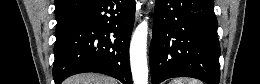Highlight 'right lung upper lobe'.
<instances>
[{"label": "right lung upper lobe", "instance_id": "cb5924a9", "mask_svg": "<svg viewBox=\"0 0 260 84\" xmlns=\"http://www.w3.org/2000/svg\"><path fill=\"white\" fill-rule=\"evenodd\" d=\"M95 0H55L57 26L90 6Z\"/></svg>", "mask_w": 260, "mask_h": 84}]
</instances>
